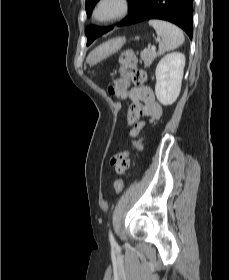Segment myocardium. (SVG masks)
I'll use <instances>...</instances> for the list:
<instances>
[{"label": "myocardium", "instance_id": "obj_1", "mask_svg": "<svg viewBox=\"0 0 229 280\" xmlns=\"http://www.w3.org/2000/svg\"><path fill=\"white\" fill-rule=\"evenodd\" d=\"M110 5L113 7L111 12L102 15V9ZM130 11V0H98L92 10V19L97 24H109L126 17Z\"/></svg>", "mask_w": 229, "mask_h": 280}]
</instances>
